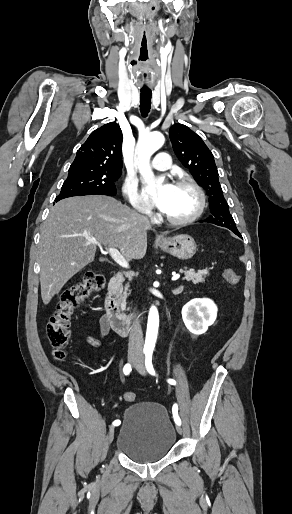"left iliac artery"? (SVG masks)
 I'll use <instances>...</instances> for the list:
<instances>
[{"label": "left iliac artery", "mask_w": 292, "mask_h": 514, "mask_svg": "<svg viewBox=\"0 0 292 514\" xmlns=\"http://www.w3.org/2000/svg\"><path fill=\"white\" fill-rule=\"evenodd\" d=\"M145 366H146V369L149 372V374H151L153 376L156 375V372H155L154 367L152 365V353L151 352L146 353ZM167 382L169 384L176 385V381L174 379H168ZM172 413H173V418H174L175 423L177 425H181V419H180V417L178 415V406H177V404L173 405Z\"/></svg>", "instance_id": "left-iliac-artery-1"}]
</instances>
